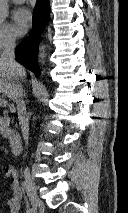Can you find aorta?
Wrapping results in <instances>:
<instances>
[{
    "label": "aorta",
    "mask_w": 128,
    "mask_h": 213,
    "mask_svg": "<svg viewBox=\"0 0 128 213\" xmlns=\"http://www.w3.org/2000/svg\"><path fill=\"white\" fill-rule=\"evenodd\" d=\"M7 16H8V0H0V23L3 22ZM38 58L41 63H45L46 51L44 45L39 47Z\"/></svg>",
    "instance_id": "aorta-1"
}]
</instances>
